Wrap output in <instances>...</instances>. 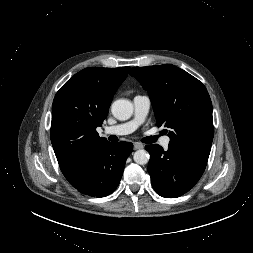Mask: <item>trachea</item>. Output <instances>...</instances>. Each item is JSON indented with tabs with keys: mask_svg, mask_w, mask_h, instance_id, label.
Wrapping results in <instances>:
<instances>
[{
	"mask_svg": "<svg viewBox=\"0 0 253 253\" xmlns=\"http://www.w3.org/2000/svg\"><path fill=\"white\" fill-rule=\"evenodd\" d=\"M157 140V136H148L142 139L143 143H154Z\"/></svg>",
	"mask_w": 253,
	"mask_h": 253,
	"instance_id": "trachea-1",
	"label": "trachea"
}]
</instances>
